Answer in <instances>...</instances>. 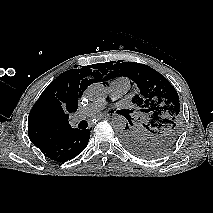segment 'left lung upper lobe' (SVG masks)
<instances>
[{"instance_id": "1", "label": "left lung upper lobe", "mask_w": 213, "mask_h": 213, "mask_svg": "<svg viewBox=\"0 0 213 213\" xmlns=\"http://www.w3.org/2000/svg\"><path fill=\"white\" fill-rule=\"evenodd\" d=\"M107 62L98 66L105 80L119 76L130 78L140 93L132 99L140 113V124L126 125L123 144L135 155L156 158L175 145L182 129L177 91L159 72L135 62ZM133 126L132 122H130Z\"/></svg>"}]
</instances>
